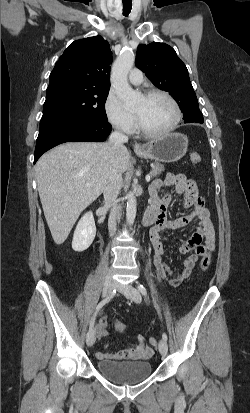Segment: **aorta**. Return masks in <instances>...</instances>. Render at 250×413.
<instances>
[{
  "instance_id": "762f6f07",
  "label": "aorta",
  "mask_w": 250,
  "mask_h": 413,
  "mask_svg": "<svg viewBox=\"0 0 250 413\" xmlns=\"http://www.w3.org/2000/svg\"><path fill=\"white\" fill-rule=\"evenodd\" d=\"M135 61L133 52L126 51L120 54L112 67L111 82L116 94L123 100L124 106L131 109L141 100L142 95L134 91L128 83L127 76ZM137 200L133 192L127 194L126 219L129 225L136 217Z\"/></svg>"
}]
</instances>
